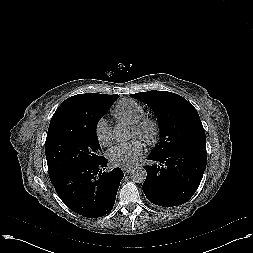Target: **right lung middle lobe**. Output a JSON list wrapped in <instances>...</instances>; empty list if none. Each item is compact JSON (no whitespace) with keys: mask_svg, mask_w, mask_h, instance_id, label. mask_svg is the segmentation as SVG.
<instances>
[{"mask_svg":"<svg viewBox=\"0 0 253 253\" xmlns=\"http://www.w3.org/2000/svg\"><path fill=\"white\" fill-rule=\"evenodd\" d=\"M108 109H99L85 122L63 123L48 132L45 153L49 174L99 162L103 158L100 155L96 126Z\"/></svg>","mask_w":253,"mask_h":253,"instance_id":"obj_1","label":"right lung middle lobe"}]
</instances>
